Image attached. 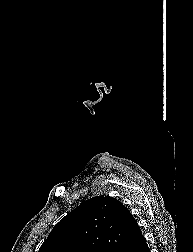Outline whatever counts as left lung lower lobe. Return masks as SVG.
<instances>
[{
    "label": "left lung lower lobe",
    "instance_id": "left-lung-lower-lobe-1",
    "mask_svg": "<svg viewBox=\"0 0 193 252\" xmlns=\"http://www.w3.org/2000/svg\"><path fill=\"white\" fill-rule=\"evenodd\" d=\"M122 252H150L139 226L135 229Z\"/></svg>",
    "mask_w": 193,
    "mask_h": 252
}]
</instances>
